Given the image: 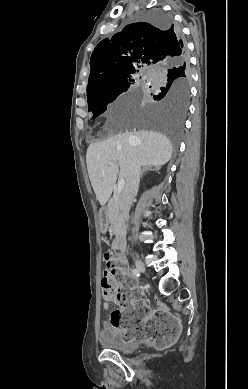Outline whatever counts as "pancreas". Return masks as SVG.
<instances>
[{
  "instance_id": "1",
  "label": "pancreas",
  "mask_w": 248,
  "mask_h": 389,
  "mask_svg": "<svg viewBox=\"0 0 248 389\" xmlns=\"http://www.w3.org/2000/svg\"><path fill=\"white\" fill-rule=\"evenodd\" d=\"M107 221L111 224L110 230L119 238L124 232V223L119 210V197L113 196L107 204Z\"/></svg>"
}]
</instances>
